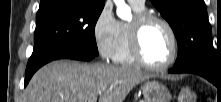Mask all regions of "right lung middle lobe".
Segmentation results:
<instances>
[{
    "label": "right lung middle lobe",
    "mask_w": 221,
    "mask_h": 102,
    "mask_svg": "<svg viewBox=\"0 0 221 102\" xmlns=\"http://www.w3.org/2000/svg\"><path fill=\"white\" fill-rule=\"evenodd\" d=\"M103 7L83 0L59 1L39 7L34 49L27 68L63 50H82L97 56L94 28Z\"/></svg>",
    "instance_id": "obj_1"
}]
</instances>
